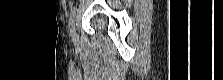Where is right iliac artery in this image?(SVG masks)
<instances>
[{
    "label": "right iliac artery",
    "mask_w": 223,
    "mask_h": 80,
    "mask_svg": "<svg viewBox=\"0 0 223 80\" xmlns=\"http://www.w3.org/2000/svg\"><path fill=\"white\" fill-rule=\"evenodd\" d=\"M74 21H75V9L71 11L70 18H69V31H70L71 37L73 36L74 30H75Z\"/></svg>",
    "instance_id": "82829eb1"
}]
</instances>
